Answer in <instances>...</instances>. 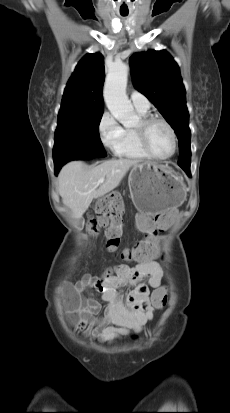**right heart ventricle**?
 Here are the masks:
<instances>
[{"label": "right heart ventricle", "instance_id": "right-heart-ventricle-1", "mask_svg": "<svg viewBox=\"0 0 230 413\" xmlns=\"http://www.w3.org/2000/svg\"><path fill=\"white\" fill-rule=\"evenodd\" d=\"M138 114L144 118L147 115V111L136 109ZM115 154L119 158L129 160H145L149 156L143 151L140 146L136 131L134 128H124L122 139L115 151Z\"/></svg>", "mask_w": 230, "mask_h": 413}]
</instances>
